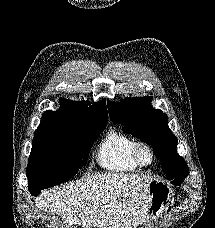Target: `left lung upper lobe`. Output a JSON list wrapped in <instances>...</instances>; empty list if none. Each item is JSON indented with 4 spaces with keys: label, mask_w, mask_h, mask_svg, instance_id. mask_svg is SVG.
Returning a JSON list of instances; mask_svg holds the SVG:
<instances>
[{
    "label": "left lung upper lobe",
    "mask_w": 215,
    "mask_h": 228,
    "mask_svg": "<svg viewBox=\"0 0 215 228\" xmlns=\"http://www.w3.org/2000/svg\"><path fill=\"white\" fill-rule=\"evenodd\" d=\"M107 106L113 123L123 124L125 133L154 148L167 179L173 180L172 183L184 181L189 168L176 151L177 138L168 127L167 115L152 108L151 97L127 98L121 103L108 99Z\"/></svg>",
    "instance_id": "obj_1"
}]
</instances>
